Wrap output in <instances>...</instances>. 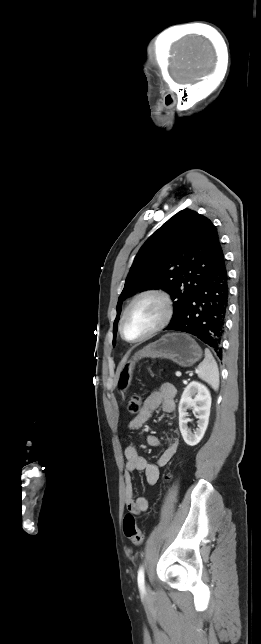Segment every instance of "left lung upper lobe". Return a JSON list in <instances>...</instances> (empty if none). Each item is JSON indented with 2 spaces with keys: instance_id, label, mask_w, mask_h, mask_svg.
I'll list each match as a JSON object with an SVG mask.
<instances>
[{
  "instance_id": "1",
  "label": "left lung upper lobe",
  "mask_w": 261,
  "mask_h": 644,
  "mask_svg": "<svg viewBox=\"0 0 261 644\" xmlns=\"http://www.w3.org/2000/svg\"><path fill=\"white\" fill-rule=\"evenodd\" d=\"M222 256L212 222L189 209L178 212L148 238L136 255L119 297L118 315L125 298L161 288L175 300L172 323ZM117 321L118 317L115 327Z\"/></svg>"
}]
</instances>
